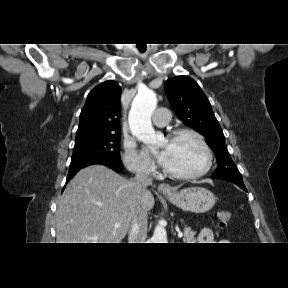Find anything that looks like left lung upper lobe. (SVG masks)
I'll list each match as a JSON object with an SVG mask.
<instances>
[{"label":"left lung upper lobe","mask_w":288,"mask_h":288,"mask_svg":"<svg viewBox=\"0 0 288 288\" xmlns=\"http://www.w3.org/2000/svg\"><path fill=\"white\" fill-rule=\"evenodd\" d=\"M164 89L178 117L191 128L205 135L217 157V169L212 178L243 183L225 144L224 134L212 111L211 104L199 85L187 76L167 80Z\"/></svg>","instance_id":"obj_1"}]
</instances>
